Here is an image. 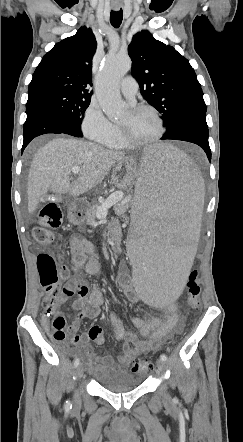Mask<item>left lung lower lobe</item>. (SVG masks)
Here are the masks:
<instances>
[{
	"label": "left lung lower lobe",
	"mask_w": 243,
	"mask_h": 442,
	"mask_svg": "<svg viewBox=\"0 0 243 442\" xmlns=\"http://www.w3.org/2000/svg\"><path fill=\"white\" fill-rule=\"evenodd\" d=\"M206 110V105L185 110L174 120L161 139L195 143L206 152L208 159L211 160Z\"/></svg>",
	"instance_id": "1"
}]
</instances>
